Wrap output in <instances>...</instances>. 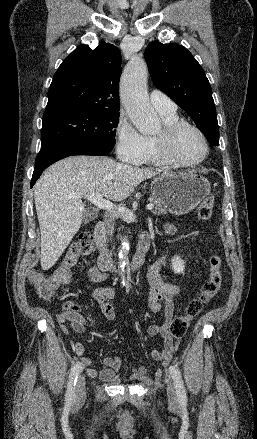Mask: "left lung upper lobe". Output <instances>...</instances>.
<instances>
[{
	"label": "left lung upper lobe",
	"mask_w": 257,
	"mask_h": 439,
	"mask_svg": "<svg viewBox=\"0 0 257 439\" xmlns=\"http://www.w3.org/2000/svg\"><path fill=\"white\" fill-rule=\"evenodd\" d=\"M144 56L154 85L189 114L212 146H219L211 86L192 54L179 44L154 41Z\"/></svg>",
	"instance_id": "left-lung-upper-lobe-1"
}]
</instances>
